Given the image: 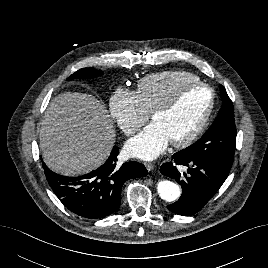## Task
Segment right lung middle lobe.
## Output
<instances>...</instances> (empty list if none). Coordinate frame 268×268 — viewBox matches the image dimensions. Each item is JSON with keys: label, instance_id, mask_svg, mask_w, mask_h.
Here are the masks:
<instances>
[{"label": "right lung middle lobe", "instance_id": "1", "mask_svg": "<svg viewBox=\"0 0 268 268\" xmlns=\"http://www.w3.org/2000/svg\"><path fill=\"white\" fill-rule=\"evenodd\" d=\"M102 74L103 72L101 70H96L94 68H83L76 71L67 80H71L73 78H94Z\"/></svg>", "mask_w": 268, "mask_h": 268}]
</instances>
